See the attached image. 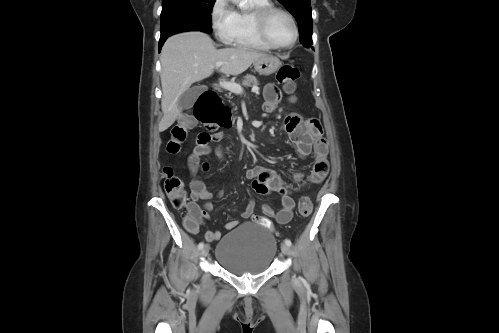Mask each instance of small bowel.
Masks as SVG:
<instances>
[{
    "label": "small bowel",
    "mask_w": 499,
    "mask_h": 333,
    "mask_svg": "<svg viewBox=\"0 0 499 333\" xmlns=\"http://www.w3.org/2000/svg\"><path fill=\"white\" fill-rule=\"evenodd\" d=\"M265 102L263 108L266 112H272L277 106L281 98V93L275 84H267L264 89ZM286 131L296 147L297 154L300 158L313 156L312 169L308 175V181L312 184L322 182L329 171L328 161V145L323 137V130L320 122L315 118L304 119L297 113H290L285 118ZM223 133L215 132L212 134L201 133L198 137L197 144L188 158V169L190 174L189 188L191 190V201L189 207L198 208L202 216H207L211 210V200L214 194L206 187L201 180L199 173L207 172L209 164L202 159L212 152L211 143H218L222 140ZM215 153L219 158H223V153L220 148L215 149ZM245 177L251 181L252 189L262 195H268L272 192L277 193L281 197L279 210L275 211L270 204L263 206V213L274 218L279 224L288 223L293 217L295 201L292 190L285 185L274 171L266 167L256 165L249 168L245 172ZM304 178L302 172H298L294 176L295 182H300ZM222 192L216 196L220 197ZM198 200H203L206 203L201 208ZM255 203L252 199L248 200L245 209L241 216L244 219L253 216ZM240 224L239 221H230L225 224L227 230L233 229ZM193 233L198 231V227L191 230ZM205 237L208 241H218L221 238L220 231H207Z\"/></svg>",
    "instance_id": "obj_1"
}]
</instances>
